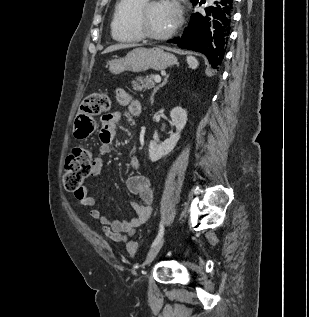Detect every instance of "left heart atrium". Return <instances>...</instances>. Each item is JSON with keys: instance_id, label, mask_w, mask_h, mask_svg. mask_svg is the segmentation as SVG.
Returning <instances> with one entry per match:
<instances>
[{"instance_id": "obj_1", "label": "left heart atrium", "mask_w": 309, "mask_h": 317, "mask_svg": "<svg viewBox=\"0 0 309 317\" xmlns=\"http://www.w3.org/2000/svg\"><path fill=\"white\" fill-rule=\"evenodd\" d=\"M167 4L169 5L171 11L173 12L176 19L179 18L180 15V7L179 4L175 0L168 1Z\"/></svg>"}]
</instances>
